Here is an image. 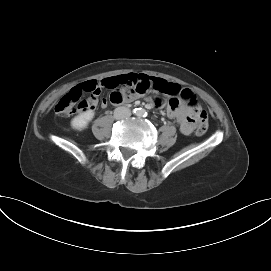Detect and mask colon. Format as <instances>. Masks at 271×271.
Here are the masks:
<instances>
[{
	"mask_svg": "<svg viewBox=\"0 0 271 271\" xmlns=\"http://www.w3.org/2000/svg\"><path fill=\"white\" fill-rule=\"evenodd\" d=\"M83 92H87L92 96L97 92V90L92 84H88L86 89L79 86L74 87L57 102L55 105V112L59 115H70L75 111H78L80 108L86 107L87 100H81ZM181 96L188 104L196 105L197 102L194 96L187 93H183ZM195 125L196 133L198 135H203L207 131L208 119L205 111L201 110L196 114Z\"/></svg>",
	"mask_w": 271,
	"mask_h": 271,
	"instance_id": "obj_1",
	"label": "colon"
}]
</instances>
